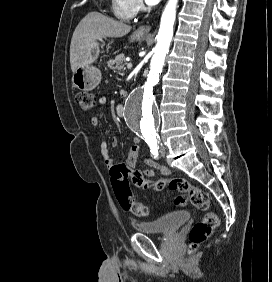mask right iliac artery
Here are the masks:
<instances>
[{"mask_svg":"<svg viewBox=\"0 0 272 282\" xmlns=\"http://www.w3.org/2000/svg\"><path fill=\"white\" fill-rule=\"evenodd\" d=\"M149 147H150V150H151V153L154 155V157H158V143L157 141H148L147 142Z\"/></svg>","mask_w":272,"mask_h":282,"instance_id":"82829eb1","label":"right iliac artery"}]
</instances>
